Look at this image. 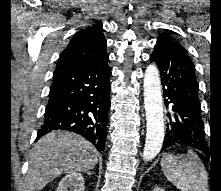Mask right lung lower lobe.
Instances as JSON below:
<instances>
[{
	"instance_id": "right-lung-lower-lobe-1",
	"label": "right lung lower lobe",
	"mask_w": 221,
	"mask_h": 191,
	"mask_svg": "<svg viewBox=\"0 0 221 191\" xmlns=\"http://www.w3.org/2000/svg\"><path fill=\"white\" fill-rule=\"evenodd\" d=\"M108 61L54 73L44 123L36 141L52 130H68L104 151L110 109Z\"/></svg>"
}]
</instances>
